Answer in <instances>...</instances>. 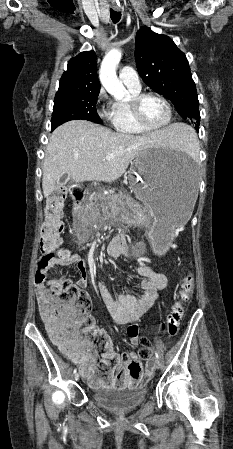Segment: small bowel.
I'll return each instance as SVG.
<instances>
[{"mask_svg":"<svg viewBox=\"0 0 233 449\" xmlns=\"http://www.w3.org/2000/svg\"><path fill=\"white\" fill-rule=\"evenodd\" d=\"M66 256L58 255L52 259L50 267L55 266H74L79 272L76 285L83 287L87 283V265L83 256L66 251ZM138 273L145 279L140 284V293L136 296L119 295L113 297L109 289L104 284L98 285V290L108 308L112 319L120 325H127V336L132 346L138 345L139 342V326L137 322L144 317L154 306L159 297V292L167 286V277L163 273L155 272L145 262H140ZM45 281H37L36 287L40 294V298L44 292ZM65 355L70 357L80 367L84 377L93 387H101L104 384L100 376V371L109 367L115 361L116 365L110 370L107 381L112 383L118 377L123 384H140V375H119L118 365L124 357L133 356L132 353L118 354L113 347L111 340L107 339L103 343L104 353L101 356V366L97 365L96 347H85L78 341H69L65 346L56 345ZM153 367V358L150 355L147 359V377Z\"/></svg>","mask_w":233,"mask_h":449,"instance_id":"obj_1","label":"small bowel"}]
</instances>
